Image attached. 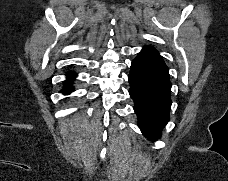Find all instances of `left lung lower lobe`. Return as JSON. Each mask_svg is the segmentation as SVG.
Instances as JSON below:
<instances>
[{
  "mask_svg": "<svg viewBox=\"0 0 228 181\" xmlns=\"http://www.w3.org/2000/svg\"><path fill=\"white\" fill-rule=\"evenodd\" d=\"M129 83L142 133L158 139L169 121L171 83L168 67L153 47L145 46L133 60Z\"/></svg>",
  "mask_w": 228,
  "mask_h": 181,
  "instance_id": "left-lung-lower-lobe-1",
  "label": "left lung lower lobe"
}]
</instances>
